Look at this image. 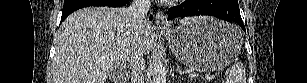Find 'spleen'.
I'll return each mask as SVG.
<instances>
[{"label": "spleen", "instance_id": "1", "mask_svg": "<svg viewBox=\"0 0 307 83\" xmlns=\"http://www.w3.org/2000/svg\"><path fill=\"white\" fill-rule=\"evenodd\" d=\"M225 75V83H246V72L244 65L241 62H237L228 68Z\"/></svg>", "mask_w": 307, "mask_h": 83}]
</instances>
